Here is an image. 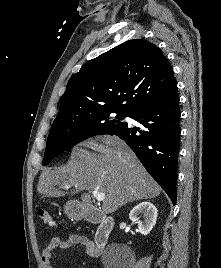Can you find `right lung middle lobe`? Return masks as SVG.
Returning <instances> with one entry per match:
<instances>
[{"instance_id":"obj_1","label":"right lung middle lobe","mask_w":221,"mask_h":268,"mask_svg":"<svg viewBox=\"0 0 221 268\" xmlns=\"http://www.w3.org/2000/svg\"><path fill=\"white\" fill-rule=\"evenodd\" d=\"M126 114L100 111L73 117L56 118L47 138L43 164L61 152L95 135L107 134L126 124Z\"/></svg>"}]
</instances>
